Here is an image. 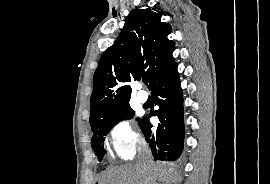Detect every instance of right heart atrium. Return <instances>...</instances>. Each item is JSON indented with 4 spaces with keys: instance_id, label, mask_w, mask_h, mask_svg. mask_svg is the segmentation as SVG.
I'll return each mask as SVG.
<instances>
[{
    "instance_id": "right-heart-atrium-1",
    "label": "right heart atrium",
    "mask_w": 270,
    "mask_h": 184,
    "mask_svg": "<svg viewBox=\"0 0 270 184\" xmlns=\"http://www.w3.org/2000/svg\"><path fill=\"white\" fill-rule=\"evenodd\" d=\"M109 139L114 153L122 160H131L143 141L136 127L125 117L111 125Z\"/></svg>"
}]
</instances>
